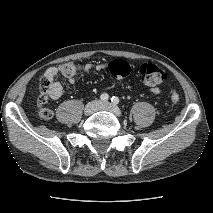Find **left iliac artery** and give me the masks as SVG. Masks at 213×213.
I'll use <instances>...</instances> for the list:
<instances>
[{"label":"left iliac artery","instance_id":"44dca946","mask_svg":"<svg viewBox=\"0 0 213 213\" xmlns=\"http://www.w3.org/2000/svg\"><path fill=\"white\" fill-rule=\"evenodd\" d=\"M111 102H112L113 104H118V103H119V98L113 96V97L111 98Z\"/></svg>","mask_w":213,"mask_h":213}]
</instances>
